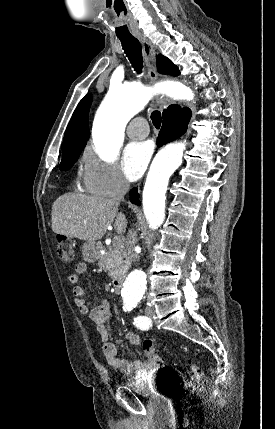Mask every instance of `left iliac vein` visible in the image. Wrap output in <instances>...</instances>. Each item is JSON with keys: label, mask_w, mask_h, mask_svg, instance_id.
I'll return each mask as SVG.
<instances>
[{"label": "left iliac vein", "mask_w": 275, "mask_h": 429, "mask_svg": "<svg viewBox=\"0 0 275 429\" xmlns=\"http://www.w3.org/2000/svg\"><path fill=\"white\" fill-rule=\"evenodd\" d=\"M153 313H154V310H153L151 307H146V309H145V314H146L149 318H151V317H152Z\"/></svg>", "instance_id": "left-iliac-vein-1"}]
</instances>
